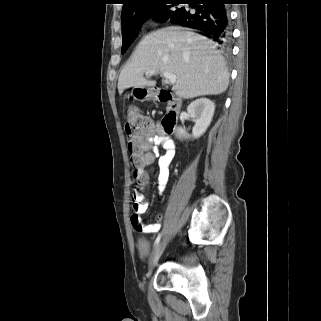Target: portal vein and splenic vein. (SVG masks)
I'll return each instance as SVG.
<instances>
[{"label":"portal vein and splenic vein","instance_id":"obj_1","mask_svg":"<svg viewBox=\"0 0 321 321\" xmlns=\"http://www.w3.org/2000/svg\"><path fill=\"white\" fill-rule=\"evenodd\" d=\"M155 73H156L155 70H151L146 72V75H154ZM162 75L165 79L168 80L170 84H174L176 82V79H177L176 75L169 72H162Z\"/></svg>","mask_w":321,"mask_h":321}]
</instances>
